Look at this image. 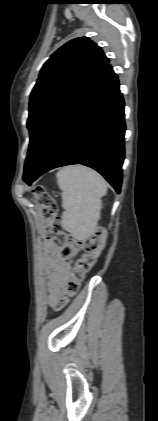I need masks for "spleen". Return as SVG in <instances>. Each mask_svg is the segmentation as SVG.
<instances>
[{
    "label": "spleen",
    "mask_w": 158,
    "mask_h": 421,
    "mask_svg": "<svg viewBox=\"0 0 158 421\" xmlns=\"http://www.w3.org/2000/svg\"><path fill=\"white\" fill-rule=\"evenodd\" d=\"M56 176L62 190V227L76 239L87 238L98 222L106 181L95 170L81 165L64 167Z\"/></svg>",
    "instance_id": "1"
}]
</instances>
